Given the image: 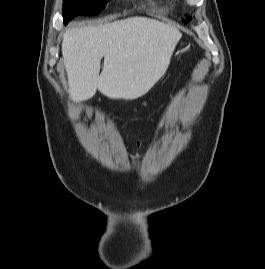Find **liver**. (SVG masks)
Wrapping results in <instances>:
<instances>
[{
	"label": "liver",
	"instance_id": "6515ba94",
	"mask_svg": "<svg viewBox=\"0 0 265 269\" xmlns=\"http://www.w3.org/2000/svg\"><path fill=\"white\" fill-rule=\"evenodd\" d=\"M180 38L176 27L147 17L68 29L62 55L71 98L88 100L97 89L111 99L145 95L166 72Z\"/></svg>",
	"mask_w": 265,
	"mask_h": 269
}]
</instances>
